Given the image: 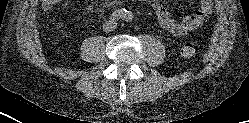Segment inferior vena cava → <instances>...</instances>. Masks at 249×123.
Returning a JSON list of instances; mask_svg holds the SVG:
<instances>
[{"label":"inferior vena cava","instance_id":"1","mask_svg":"<svg viewBox=\"0 0 249 123\" xmlns=\"http://www.w3.org/2000/svg\"><path fill=\"white\" fill-rule=\"evenodd\" d=\"M116 24L117 23L114 21H107L106 24H104L103 29L106 32L111 31L116 27Z\"/></svg>","mask_w":249,"mask_h":123}]
</instances>
